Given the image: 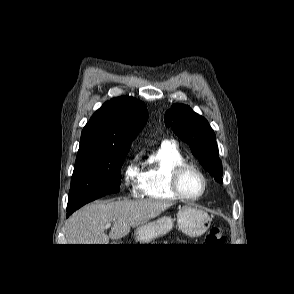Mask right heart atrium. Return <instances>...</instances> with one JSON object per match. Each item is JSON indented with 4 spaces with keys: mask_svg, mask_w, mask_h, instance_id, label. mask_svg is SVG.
Returning a JSON list of instances; mask_svg holds the SVG:
<instances>
[{
    "mask_svg": "<svg viewBox=\"0 0 294 294\" xmlns=\"http://www.w3.org/2000/svg\"><path fill=\"white\" fill-rule=\"evenodd\" d=\"M142 169L139 155H134L123 171V182L132 196H138L141 191Z\"/></svg>",
    "mask_w": 294,
    "mask_h": 294,
    "instance_id": "right-heart-atrium-1",
    "label": "right heart atrium"
}]
</instances>
